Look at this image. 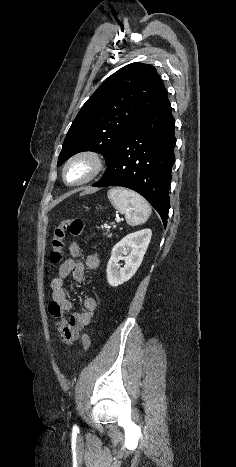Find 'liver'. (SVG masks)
Wrapping results in <instances>:
<instances>
[{
    "label": "liver",
    "mask_w": 236,
    "mask_h": 467,
    "mask_svg": "<svg viewBox=\"0 0 236 467\" xmlns=\"http://www.w3.org/2000/svg\"><path fill=\"white\" fill-rule=\"evenodd\" d=\"M94 191H96V189H88L85 192H83L81 195H85V194H88V193H91V192H94Z\"/></svg>",
    "instance_id": "obj_1"
}]
</instances>
